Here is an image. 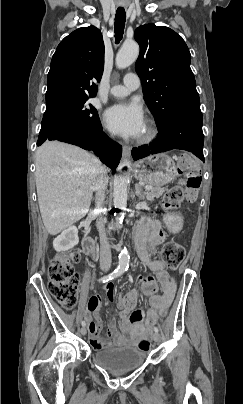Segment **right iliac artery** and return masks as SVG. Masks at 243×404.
Listing matches in <instances>:
<instances>
[{
    "label": "right iliac artery",
    "mask_w": 243,
    "mask_h": 404,
    "mask_svg": "<svg viewBox=\"0 0 243 404\" xmlns=\"http://www.w3.org/2000/svg\"><path fill=\"white\" fill-rule=\"evenodd\" d=\"M118 275H119V273L117 271H114L113 273L100 278L99 281L105 283V282H108V281L116 278ZM81 324H82V326L86 325V323L84 321H82Z\"/></svg>",
    "instance_id": "right-iliac-artery-1"
}]
</instances>
